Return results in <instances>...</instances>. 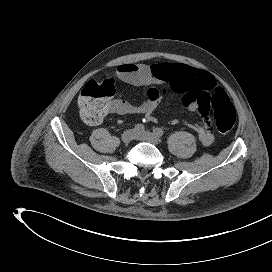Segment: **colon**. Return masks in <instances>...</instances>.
<instances>
[{
  "mask_svg": "<svg viewBox=\"0 0 272 272\" xmlns=\"http://www.w3.org/2000/svg\"><path fill=\"white\" fill-rule=\"evenodd\" d=\"M115 83L110 79L102 81L91 80L85 84L78 97V107L82 120L90 125H96L109 113L115 95ZM164 91L152 87L144 97L157 99ZM208 105L213 109L217 130L228 133L236 123V112L227 95L222 89H216L208 99Z\"/></svg>",
  "mask_w": 272,
  "mask_h": 272,
  "instance_id": "obj_1",
  "label": "colon"
}]
</instances>
